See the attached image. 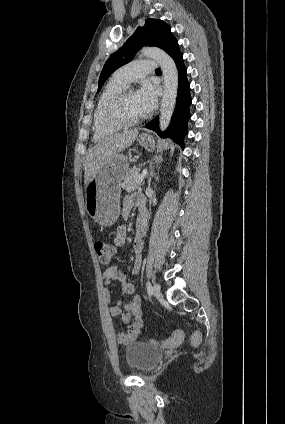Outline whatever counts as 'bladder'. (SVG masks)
I'll return each instance as SVG.
<instances>
[{
  "label": "bladder",
  "instance_id": "bladder-1",
  "mask_svg": "<svg viewBox=\"0 0 285 424\" xmlns=\"http://www.w3.org/2000/svg\"><path fill=\"white\" fill-rule=\"evenodd\" d=\"M124 356L131 370L145 373L157 367L163 358V351L146 343L131 342L124 348Z\"/></svg>",
  "mask_w": 285,
  "mask_h": 424
}]
</instances>
